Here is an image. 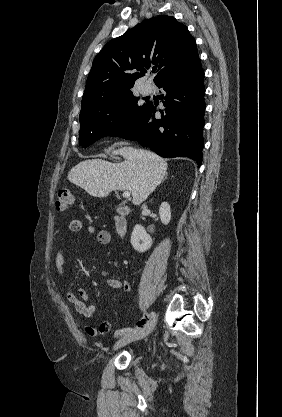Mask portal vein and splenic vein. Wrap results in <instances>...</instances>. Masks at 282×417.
Returning a JSON list of instances; mask_svg holds the SVG:
<instances>
[{
  "label": "portal vein and splenic vein",
  "mask_w": 282,
  "mask_h": 417,
  "mask_svg": "<svg viewBox=\"0 0 282 417\" xmlns=\"http://www.w3.org/2000/svg\"><path fill=\"white\" fill-rule=\"evenodd\" d=\"M131 192H129V190H124L122 196H124V198H129Z\"/></svg>",
  "instance_id": "18ae733b"
}]
</instances>
